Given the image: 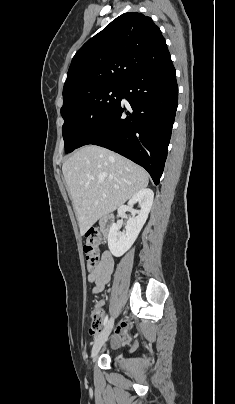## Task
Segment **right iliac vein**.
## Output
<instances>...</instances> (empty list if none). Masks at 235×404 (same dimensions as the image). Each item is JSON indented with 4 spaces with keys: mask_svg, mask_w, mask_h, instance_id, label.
<instances>
[{
    "mask_svg": "<svg viewBox=\"0 0 235 404\" xmlns=\"http://www.w3.org/2000/svg\"><path fill=\"white\" fill-rule=\"evenodd\" d=\"M114 326V320L111 319L107 325L105 326L104 330L96 340V342L93 345L92 352H91V357L94 359L97 354L99 353L100 349L104 345V343L107 341L109 334L112 331V328Z\"/></svg>",
    "mask_w": 235,
    "mask_h": 404,
    "instance_id": "63e3f726",
    "label": "right iliac vein"
}]
</instances>
